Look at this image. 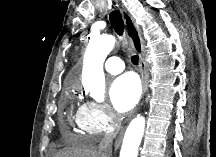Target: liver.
<instances>
[{"label":"liver","mask_w":216,"mask_h":157,"mask_svg":"<svg viewBox=\"0 0 216 157\" xmlns=\"http://www.w3.org/2000/svg\"><path fill=\"white\" fill-rule=\"evenodd\" d=\"M98 149L93 147H73L62 150L56 154V157H100Z\"/></svg>","instance_id":"6515ba94"}]
</instances>
